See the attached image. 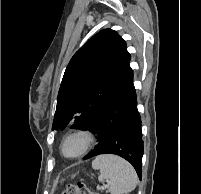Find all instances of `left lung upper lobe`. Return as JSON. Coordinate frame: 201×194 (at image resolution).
<instances>
[{"instance_id":"1","label":"left lung upper lobe","mask_w":201,"mask_h":194,"mask_svg":"<svg viewBox=\"0 0 201 194\" xmlns=\"http://www.w3.org/2000/svg\"><path fill=\"white\" fill-rule=\"evenodd\" d=\"M125 41L111 29L89 39L70 60L59 89L52 130H85L131 72Z\"/></svg>"}]
</instances>
